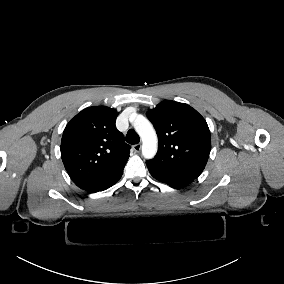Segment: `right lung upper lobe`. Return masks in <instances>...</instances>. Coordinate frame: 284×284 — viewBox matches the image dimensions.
Here are the masks:
<instances>
[{
    "instance_id": "obj_1",
    "label": "right lung upper lobe",
    "mask_w": 284,
    "mask_h": 284,
    "mask_svg": "<svg viewBox=\"0 0 284 284\" xmlns=\"http://www.w3.org/2000/svg\"><path fill=\"white\" fill-rule=\"evenodd\" d=\"M118 112L107 106L88 107L72 118L61 140L63 164L81 189L98 192L123 173L130 146L116 129Z\"/></svg>"
}]
</instances>
